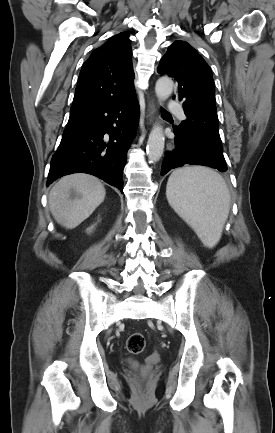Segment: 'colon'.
Returning <instances> with one entry per match:
<instances>
[{"label": "colon", "instance_id": "obj_1", "mask_svg": "<svg viewBox=\"0 0 275 433\" xmlns=\"http://www.w3.org/2000/svg\"><path fill=\"white\" fill-rule=\"evenodd\" d=\"M145 347V338L141 332H134L129 335L126 341V348L131 354H140Z\"/></svg>", "mask_w": 275, "mask_h": 433}]
</instances>
